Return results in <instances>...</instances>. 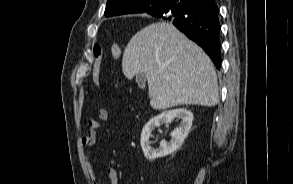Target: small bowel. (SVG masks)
<instances>
[{
    "label": "small bowel",
    "instance_id": "c3829d8e",
    "mask_svg": "<svg viewBox=\"0 0 293 184\" xmlns=\"http://www.w3.org/2000/svg\"><path fill=\"white\" fill-rule=\"evenodd\" d=\"M98 118L100 121L106 122L110 120L111 114L107 109H100L98 112ZM97 119H90L89 120V128L86 134L83 136L81 143L83 147H91L96 143L97 140V132L101 127L100 121ZM87 168L90 172L93 184H99L94 166L90 158H87ZM109 180L111 184H118V172L115 168H109L107 171Z\"/></svg>",
    "mask_w": 293,
    "mask_h": 184
}]
</instances>
